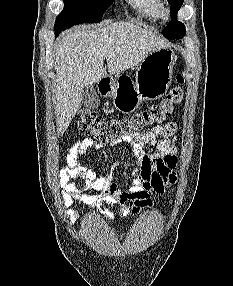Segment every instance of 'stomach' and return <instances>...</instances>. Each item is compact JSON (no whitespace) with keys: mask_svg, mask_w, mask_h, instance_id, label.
Wrapping results in <instances>:
<instances>
[{"mask_svg":"<svg viewBox=\"0 0 233 286\" xmlns=\"http://www.w3.org/2000/svg\"><path fill=\"white\" fill-rule=\"evenodd\" d=\"M176 58L169 47L153 51L138 65L135 83L129 82L125 87L111 80L107 94L122 112H132L143 100L159 99L171 84Z\"/></svg>","mask_w":233,"mask_h":286,"instance_id":"0dacf381","label":"stomach"}]
</instances>
